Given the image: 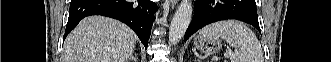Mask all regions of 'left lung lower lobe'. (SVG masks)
<instances>
[{"label": "left lung lower lobe", "mask_w": 331, "mask_h": 62, "mask_svg": "<svg viewBox=\"0 0 331 62\" xmlns=\"http://www.w3.org/2000/svg\"><path fill=\"white\" fill-rule=\"evenodd\" d=\"M226 19L240 20L260 30L255 0H196L184 41L202 27Z\"/></svg>", "instance_id": "0a47b994"}]
</instances>
